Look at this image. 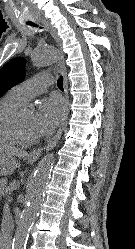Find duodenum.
I'll use <instances>...</instances> for the list:
<instances>
[{"label":"duodenum","instance_id":"obj_1","mask_svg":"<svg viewBox=\"0 0 135 249\" xmlns=\"http://www.w3.org/2000/svg\"><path fill=\"white\" fill-rule=\"evenodd\" d=\"M0 247H2L3 249H11V239L6 235L1 236Z\"/></svg>","mask_w":135,"mask_h":249}]
</instances>
